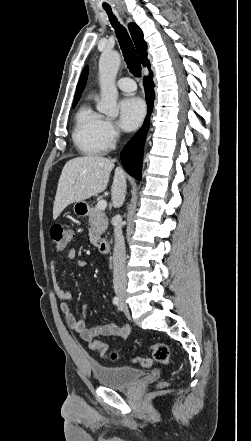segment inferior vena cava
I'll return each instance as SVG.
<instances>
[{"instance_id":"obj_1","label":"inferior vena cava","mask_w":251,"mask_h":441,"mask_svg":"<svg viewBox=\"0 0 251 441\" xmlns=\"http://www.w3.org/2000/svg\"><path fill=\"white\" fill-rule=\"evenodd\" d=\"M121 217H117L114 223L115 245L113 250V285L116 294L125 292L126 279V250L125 241L122 234Z\"/></svg>"}]
</instances>
